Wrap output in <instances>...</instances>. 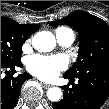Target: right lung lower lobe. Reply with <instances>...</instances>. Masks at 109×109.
<instances>
[{"mask_svg":"<svg viewBox=\"0 0 109 109\" xmlns=\"http://www.w3.org/2000/svg\"><path fill=\"white\" fill-rule=\"evenodd\" d=\"M21 67V62L15 65L4 66L1 65V73L3 70H6V73L16 72L15 67ZM31 78L27 73L13 77L1 78V109H12L16 104L18 97L20 95L21 86L25 80Z\"/></svg>","mask_w":109,"mask_h":109,"instance_id":"right-lung-lower-lobe-1","label":"right lung lower lobe"}]
</instances>
